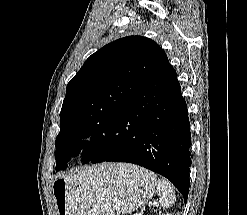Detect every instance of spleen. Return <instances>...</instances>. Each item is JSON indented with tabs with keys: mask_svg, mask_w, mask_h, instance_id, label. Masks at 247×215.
<instances>
[{
	"mask_svg": "<svg viewBox=\"0 0 247 215\" xmlns=\"http://www.w3.org/2000/svg\"><path fill=\"white\" fill-rule=\"evenodd\" d=\"M157 194L163 208L172 206L176 201L175 190L172 184L165 178L157 181Z\"/></svg>",
	"mask_w": 247,
	"mask_h": 215,
	"instance_id": "3e777b00",
	"label": "spleen"
}]
</instances>
